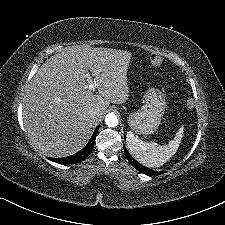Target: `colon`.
Segmentation results:
<instances>
[{"instance_id": "obj_1", "label": "colon", "mask_w": 225, "mask_h": 225, "mask_svg": "<svg viewBox=\"0 0 225 225\" xmlns=\"http://www.w3.org/2000/svg\"><path fill=\"white\" fill-rule=\"evenodd\" d=\"M150 62L152 65L154 66H160L161 63H162V59L157 56V55H153L151 58H150Z\"/></svg>"}]
</instances>
